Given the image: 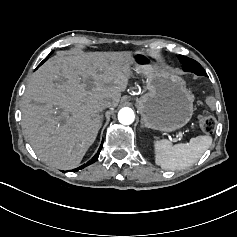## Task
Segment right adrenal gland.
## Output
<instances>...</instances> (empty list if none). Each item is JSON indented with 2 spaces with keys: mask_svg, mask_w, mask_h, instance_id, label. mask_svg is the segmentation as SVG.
<instances>
[{
  "mask_svg": "<svg viewBox=\"0 0 237 237\" xmlns=\"http://www.w3.org/2000/svg\"><path fill=\"white\" fill-rule=\"evenodd\" d=\"M103 117H104L103 114H101V115L99 116V118H100L99 129H100L101 126H102Z\"/></svg>",
  "mask_w": 237,
  "mask_h": 237,
  "instance_id": "1",
  "label": "right adrenal gland"
}]
</instances>
